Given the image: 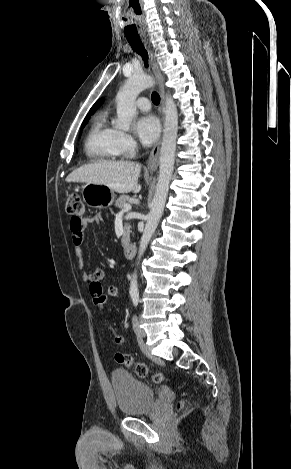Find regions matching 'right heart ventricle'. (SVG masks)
Segmentation results:
<instances>
[{
	"mask_svg": "<svg viewBox=\"0 0 291 469\" xmlns=\"http://www.w3.org/2000/svg\"><path fill=\"white\" fill-rule=\"evenodd\" d=\"M116 130L108 120V111L99 112L88 130L84 149L86 155L96 161H111L121 156Z\"/></svg>",
	"mask_w": 291,
	"mask_h": 469,
	"instance_id": "1",
	"label": "right heart ventricle"
}]
</instances>
